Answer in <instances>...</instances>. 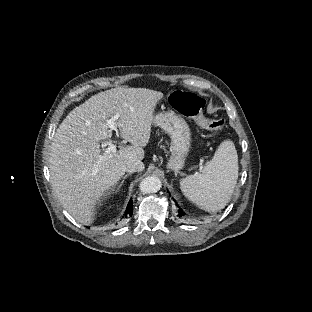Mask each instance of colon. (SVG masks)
Masks as SVG:
<instances>
[{"instance_id": "obj_1", "label": "colon", "mask_w": 312, "mask_h": 312, "mask_svg": "<svg viewBox=\"0 0 312 312\" xmlns=\"http://www.w3.org/2000/svg\"><path fill=\"white\" fill-rule=\"evenodd\" d=\"M169 100L175 111L193 118L197 125L204 129L221 131L226 126L224 119H210L203 116L204 100L195 93L174 91L171 93Z\"/></svg>"}]
</instances>
